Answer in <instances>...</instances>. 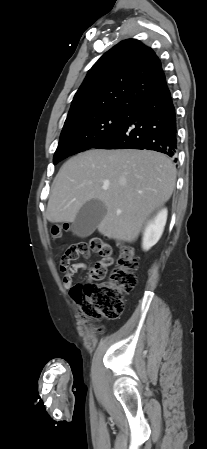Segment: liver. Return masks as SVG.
Returning a JSON list of instances; mask_svg holds the SVG:
<instances>
[{
  "mask_svg": "<svg viewBox=\"0 0 207 449\" xmlns=\"http://www.w3.org/2000/svg\"><path fill=\"white\" fill-rule=\"evenodd\" d=\"M176 168L164 154L148 150L91 149L70 158L56 175L46 210L51 223L74 222L89 200L104 203L98 224L103 236L133 242L149 216L174 190ZM108 183V189L102 187Z\"/></svg>",
  "mask_w": 207,
  "mask_h": 449,
  "instance_id": "6515ba94",
  "label": "liver"
}]
</instances>
